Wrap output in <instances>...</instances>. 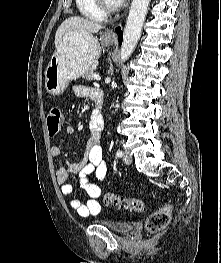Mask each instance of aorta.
I'll return each instance as SVG.
<instances>
[{"label": "aorta", "instance_id": "1", "mask_svg": "<svg viewBox=\"0 0 221 263\" xmlns=\"http://www.w3.org/2000/svg\"><path fill=\"white\" fill-rule=\"evenodd\" d=\"M149 3L150 0H132L124 29L120 52L121 61L128 59L140 39Z\"/></svg>", "mask_w": 221, "mask_h": 263}]
</instances>
